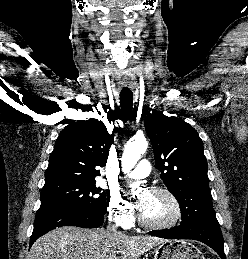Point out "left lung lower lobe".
<instances>
[{
    "mask_svg": "<svg viewBox=\"0 0 248 259\" xmlns=\"http://www.w3.org/2000/svg\"><path fill=\"white\" fill-rule=\"evenodd\" d=\"M152 236L166 239H193L214 249L221 259H226L221 229L216 217H207L180 224L172 229L149 232Z\"/></svg>",
    "mask_w": 248,
    "mask_h": 259,
    "instance_id": "0a47b994",
    "label": "left lung lower lobe"
}]
</instances>
